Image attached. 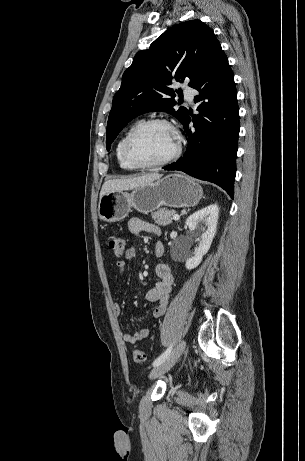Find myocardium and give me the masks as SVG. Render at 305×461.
<instances>
[{
  "mask_svg": "<svg viewBox=\"0 0 305 461\" xmlns=\"http://www.w3.org/2000/svg\"><path fill=\"white\" fill-rule=\"evenodd\" d=\"M151 125H161V126L168 128L175 136L176 147L173 153L169 155L168 157H166L165 159L157 161V162H153V163H147V162H142L138 160L137 158H135V156L132 153V145H133L135 138L138 136V134L144 128L151 126ZM181 152H182V145H181V141L178 137L176 129L169 121L165 119H160V118H151V119H147V120H144L136 124L133 127V129L130 131V133L128 134L125 140V143H124L125 159L130 165H132L135 168H139V169H155V168L163 167L175 161L176 159H178Z\"/></svg>",
  "mask_w": 305,
  "mask_h": 461,
  "instance_id": "myocardium-1",
  "label": "myocardium"
}]
</instances>
